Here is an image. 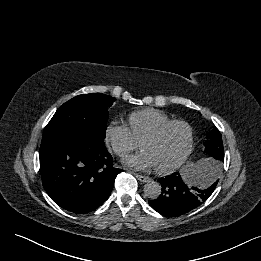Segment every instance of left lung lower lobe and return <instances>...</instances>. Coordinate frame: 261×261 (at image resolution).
I'll return each instance as SVG.
<instances>
[{"label":"left lung lower lobe","mask_w":261,"mask_h":261,"mask_svg":"<svg viewBox=\"0 0 261 261\" xmlns=\"http://www.w3.org/2000/svg\"><path fill=\"white\" fill-rule=\"evenodd\" d=\"M220 166L213 162L204 164L200 169L199 183L187 186L177 172L165 178H159L162 186L161 195L149 200V205L164 216L183 215L205 202L215 190L218 183Z\"/></svg>","instance_id":"left-lung-lower-lobe-1"}]
</instances>
